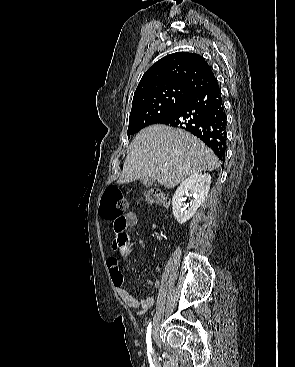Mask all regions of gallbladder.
Segmentation results:
<instances>
[{
  "label": "gallbladder",
  "instance_id": "1",
  "mask_svg": "<svg viewBox=\"0 0 295 367\" xmlns=\"http://www.w3.org/2000/svg\"><path fill=\"white\" fill-rule=\"evenodd\" d=\"M141 182L145 187H151L155 183V180L149 178H143L141 179Z\"/></svg>",
  "mask_w": 295,
  "mask_h": 367
}]
</instances>
